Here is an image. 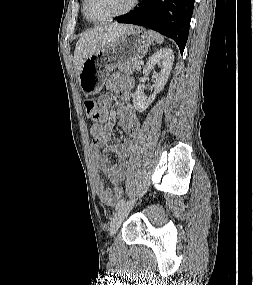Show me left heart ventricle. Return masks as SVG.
Returning a JSON list of instances; mask_svg holds the SVG:
<instances>
[{"label": "left heart ventricle", "mask_w": 253, "mask_h": 285, "mask_svg": "<svg viewBox=\"0 0 253 285\" xmlns=\"http://www.w3.org/2000/svg\"><path fill=\"white\" fill-rule=\"evenodd\" d=\"M131 0H87L86 10L91 18H103L128 7Z\"/></svg>", "instance_id": "b2bd125f"}]
</instances>
